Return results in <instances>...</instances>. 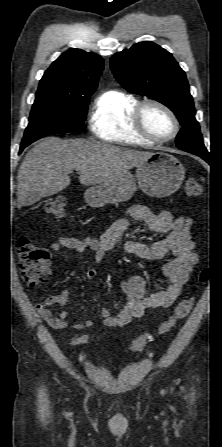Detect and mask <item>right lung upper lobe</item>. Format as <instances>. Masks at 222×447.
I'll list each match as a JSON object with an SVG mask.
<instances>
[{"label":"right lung upper lobe","instance_id":"obj_1","mask_svg":"<svg viewBox=\"0 0 222 447\" xmlns=\"http://www.w3.org/2000/svg\"><path fill=\"white\" fill-rule=\"evenodd\" d=\"M103 66L99 55L69 49L45 71L38 89H55L69 95L93 93Z\"/></svg>","mask_w":222,"mask_h":447}]
</instances>
